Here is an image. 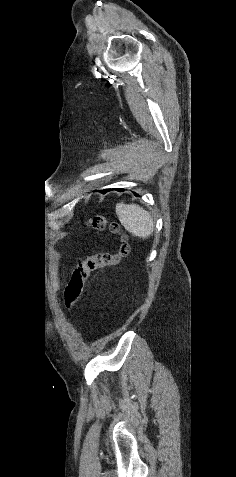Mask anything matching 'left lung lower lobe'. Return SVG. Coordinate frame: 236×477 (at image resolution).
Segmentation results:
<instances>
[{
  "label": "left lung lower lobe",
  "instance_id": "left-lung-lower-lobe-1",
  "mask_svg": "<svg viewBox=\"0 0 236 477\" xmlns=\"http://www.w3.org/2000/svg\"><path fill=\"white\" fill-rule=\"evenodd\" d=\"M119 191H123V189H118ZM137 195V194H136Z\"/></svg>",
  "mask_w": 236,
  "mask_h": 477
}]
</instances>
